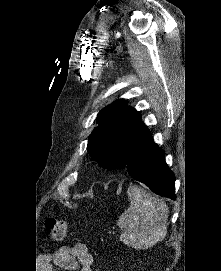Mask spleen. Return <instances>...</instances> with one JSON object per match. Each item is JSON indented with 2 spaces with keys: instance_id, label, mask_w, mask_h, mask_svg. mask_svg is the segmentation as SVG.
Returning a JSON list of instances; mask_svg holds the SVG:
<instances>
[{
  "instance_id": "obj_1",
  "label": "spleen",
  "mask_w": 221,
  "mask_h": 271,
  "mask_svg": "<svg viewBox=\"0 0 221 271\" xmlns=\"http://www.w3.org/2000/svg\"><path fill=\"white\" fill-rule=\"evenodd\" d=\"M129 199V207L117 221L122 229L120 239L135 249L153 247L167 233L168 205L141 187H134Z\"/></svg>"
}]
</instances>
